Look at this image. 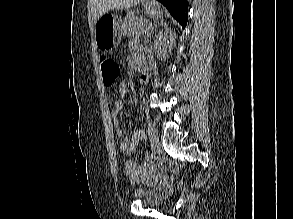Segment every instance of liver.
Wrapping results in <instances>:
<instances>
[{
    "label": "liver",
    "instance_id": "obj_1",
    "mask_svg": "<svg viewBox=\"0 0 293 219\" xmlns=\"http://www.w3.org/2000/svg\"><path fill=\"white\" fill-rule=\"evenodd\" d=\"M143 0H94L93 19L94 22L103 16L106 12L114 9H128L136 6Z\"/></svg>",
    "mask_w": 293,
    "mask_h": 219
}]
</instances>
